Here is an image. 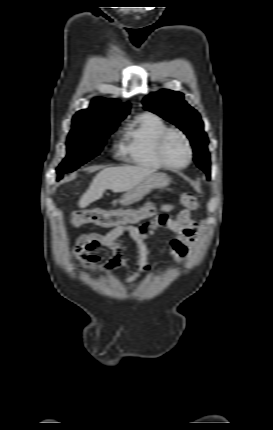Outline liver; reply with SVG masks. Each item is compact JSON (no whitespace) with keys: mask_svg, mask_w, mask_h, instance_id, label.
Listing matches in <instances>:
<instances>
[{"mask_svg":"<svg viewBox=\"0 0 273 430\" xmlns=\"http://www.w3.org/2000/svg\"><path fill=\"white\" fill-rule=\"evenodd\" d=\"M155 172L143 166L110 167L100 171L93 179L88 190L81 196L78 206L85 208L100 199L105 190L113 192H127Z\"/></svg>","mask_w":273,"mask_h":430,"instance_id":"liver-1","label":"liver"}]
</instances>
